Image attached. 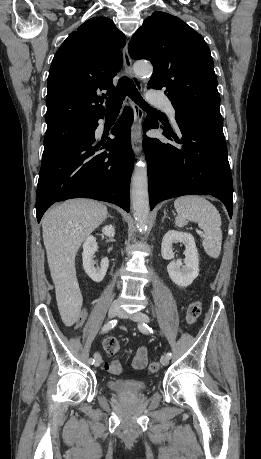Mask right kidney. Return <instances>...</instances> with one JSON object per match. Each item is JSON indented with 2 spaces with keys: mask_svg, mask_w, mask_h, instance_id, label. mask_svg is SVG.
<instances>
[{
  "mask_svg": "<svg viewBox=\"0 0 261 459\" xmlns=\"http://www.w3.org/2000/svg\"><path fill=\"white\" fill-rule=\"evenodd\" d=\"M102 233L108 237L113 238L115 235V229L112 225H107L102 229ZM97 250V242L94 236H88L83 244V268L86 274L94 281L101 282L107 272L109 260L104 257L101 260L100 267H95V261L93 260L94 254Z\"/></svg>",
  "mask_w": 261,
  "mask_h": 459,
  "instance_id": "1",
  "label": "right kidney"
}]
</instances>
